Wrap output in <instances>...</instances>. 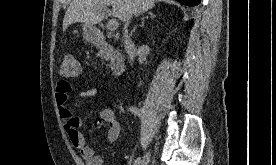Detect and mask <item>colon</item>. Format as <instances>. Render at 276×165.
<instances>
[{
	"label": "colon",
	"instance_id": "5ec220e1",
	"mask_svg": "<svg viewBox=\"0 0 276 165\" xmlns=\"http://www.w3.org/2000/svg\"><path fill=\"white\" fill-rule=\"evenodd\" d=\"M80 73V63L71 54H66L60 62L59 74L64 78H73Z\"/></svg>",
	"mask_w": 276,
	"mask_h": 165
}]
</instances>
